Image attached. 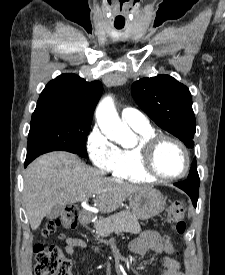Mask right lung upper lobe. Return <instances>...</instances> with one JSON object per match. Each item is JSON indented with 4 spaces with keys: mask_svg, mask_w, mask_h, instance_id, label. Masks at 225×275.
Listing matches in <instances>:
<instances>
[{
    "mask_svg": "<svg viewBox=\"0 0 225 275\" xmlns=\"http://www.w3.org/2000/svg\"><path fill=\"white\" fill-rule=\"evenodd\" d=\"M102 92L100 81L86 82L75 74H62L46 85L32 119L74 117L92 120L91 116Z\"/></svg>",
    "mask_w": 225,
    "mask_h": 275,
    "instance_id": "cb5924a9",
    "label": "right lung upper lobe"
}]
</instances>
